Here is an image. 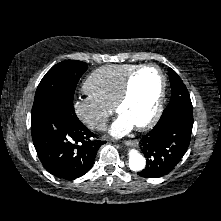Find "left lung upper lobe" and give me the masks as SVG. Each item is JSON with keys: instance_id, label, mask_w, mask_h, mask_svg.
<instances>
[{"instance_id": "obj_1", "label": "left lung upper lobe", "mask_w": 221, "mask_h": 221, "mask_svg": "<svg viewBox=\"0 0 221 221\" xmlns=\"http://www.w3.org/2000/svg\"><path fill=\"white\" fill-rule=\"evenodd\" d=\"M168 72L171 82V101L166 109L181 104L192 105L189 92L181 78L171 68L168 69Z\"/></svg>"}]
</instances>
